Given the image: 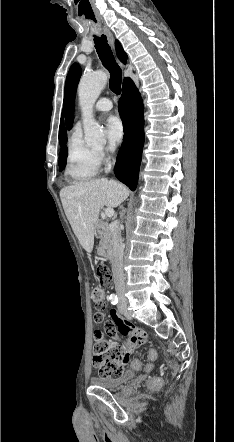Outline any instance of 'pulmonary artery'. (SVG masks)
Masks as SVG:
<instances>
[{
  "label": "pulmonary artery",
  "mask_w": 234,
  "mask_h": 442,
  "mask_svg": "<svg viewBox=\"0 0 234 442\" xmlns=\"http://www.w3.org/2000/svg\"><path fill=\"white\" fill-rule=\"evenodd\" d=\"M113 107V104L110 99L108 98H100L96 104H95V111L97 112H107L111 110ZM82 122L79 120L76 124L77 128H81Z\"/></svg>",
  "instance_id": "e3ab8cb5"
}]
</instances>
